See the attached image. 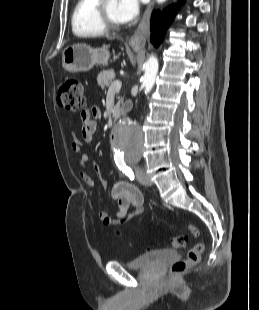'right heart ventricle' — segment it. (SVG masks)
Listing matches in <instances>:
<instances>
[{
	"instance_id": "obj_1",
	"label": "right heart ventricle",
	"mask_w": 259,
	"mask_h": 310,
	"mask_svg": "<svg viewBox=\"0 0 259 310\" xmlns=\"http://www.w3.org/2000/svg\"><path fill=\"white\" fill-rule=\"evenodd\" d=\"M100 0H77L73 10L72 30L79 37H96L105 33L96 18V6Z\"/></svg>"
}]
</instances>
